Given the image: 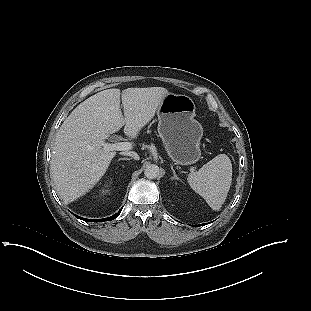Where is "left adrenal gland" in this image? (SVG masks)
Here are the masks:
<instances>
[{
    "mask_svg": "<svg viewBox=\"0 0 311 311\" xmlns=\"http://www.w3.org/2000/svg\"><path fill=\"white\" fill-rule=\"evenodd\" d=\"M171 170L173 172V177L172 179H175V180H180V178L178 177V175L176 174L175 170L173 169V166L171 165Z\"/></svg>",
    "mask_w": 311,
    "mask_h": 311,
    "instance_id": "1",
    "label": "left adrenal gland"
}]
</instances>
